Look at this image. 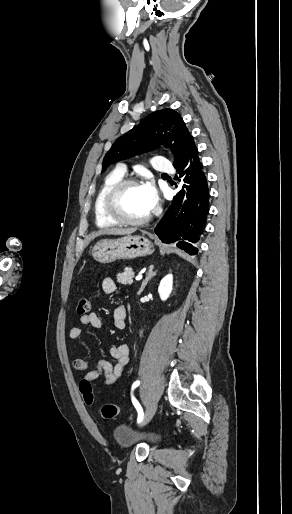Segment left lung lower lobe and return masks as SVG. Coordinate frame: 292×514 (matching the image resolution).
Returning a JSON list of instances; mask_svg holds the SVG:
<instances>
[{"label":"left lung lower lobe","mask_w":292,"mask_h":514,"mask_svg":"<svg viewBox=\"0 0 292 514\" xmlns=\"http://www.w3.org/2000/svg\"><path fill=\"white\" fill-rule=\"evenodd\" d=\"M183 181L182 189L173 198L172 205L154 229L164 243L177 242V247L190 255L198 252L200 240L209 213V188L203 165L195 143H191L184 158L175 167Z\"/></svg>","instance_id":"0a47b994"}]
</instances>
